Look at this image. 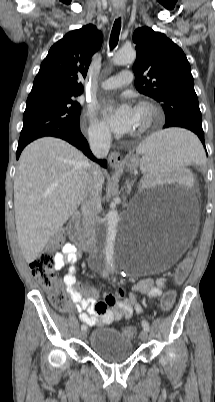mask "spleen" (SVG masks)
Returning a JSON list of instances; mask_svg holds the SVG:
<instances>
[{
	"mask_svg": "<svg viewBox=\"0 0 215 402\" xmlns=\"http://www.w3.org/2000/svg\"><path fill=\"white\" fill-rule=\"evenodd\" d=\"M144 153L140 168L185 169L189 163H201L204 159L199 138L192 128H167V131L152 135L137 148Z\"/></svg>",
	"mask_w": 215,
	"mask_h": 402,
	"instance_id": "obj_1",
	"label": "spleen"
}]
</instances>
